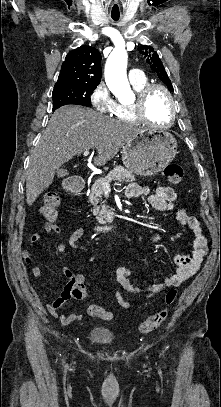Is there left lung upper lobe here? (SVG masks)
I'll list each match as a JSON object with an SVG mask.
<instances>
[{
  "label": "left lung upper lobe",
  "mask_w": 221,
  "mask_h": 407,
  "mask_svg": "<svg viewBox=\"0 0 221 407\" xmlns=\"http://www.w3.org/2000/svg\"><path fill=\"white\" fill-rule=\"evenodd\" d=\"M138 51L144 56L151 69L156 72L158 77L167 85L168 89L173 91L171 81L156 51L147 45L139 46Z\"/></svg>",
  "instance_id": "left-lung-upper-lobe-1"
}]
</instances>
